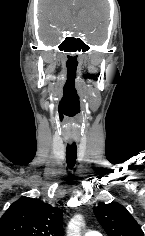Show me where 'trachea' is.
Returning <instances> with one entry per match:
<instances>
[{"instance_id": "1", "label": "trachea", "mask_w": 145, "mask_h": 236, "mask_svg": "<svg viewBox=\"0 0 145 236\" xmlns=\"http://www.w3.org/2000/svg\"><path fill=\"white\" fill-rule=\"evenodd\" d=\"M77 158V146L76 143L67 144L66 148V162L70 169H72L76 163Z\"/></svg>"}]
</instances>
